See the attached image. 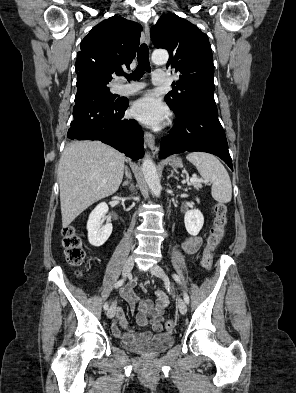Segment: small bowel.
<instances>
[{"label":"small bowel","instance_id":"small-bowel-1","mask_svg":"<svg viewBox=\"0 0 296 393\" xmlns=\"http://www.w3.org/2000/svg\"><path fill=\"white\" fill-rule=\"evenodd\" d=\"M201 246L202 238L200 236H190L182 242V249L187 254L196 253ZM136 286V280L129 283L121 290V296L127 301L130 309L136 316L137 322L141 326L150 324L153 331L160 332L162 330L163 314L169 304L168 296L162 290L157 289L155 291V300L141 298L135 293ZM140 287L142 290H145L144 285ZM115 313L116 317L112 324V331L115 335L121 337L124 342L134 343L146 341L152 337L150 331L140 333L125 332L124 330L127 328V319L123 309L121 307H116Z\"/></svg>","mask_w":296,"mask_h":393}]
</instances>
